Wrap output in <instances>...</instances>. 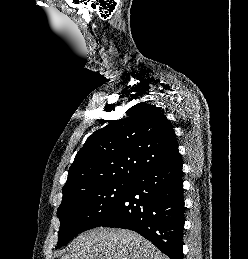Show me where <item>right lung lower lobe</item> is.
Returning <instances> with one entry per match:
<instances>
[{
	"label": "right lung lower lobe",
	"instance_id": "right-lung-lower-lobe-1",
	"mask_svg": "<svg viewBox=\"0 0 248 259\" xmlns=\"http://www.w3.org/2000/svg\"><path fill=\"white\" fill-rule=\"evenodd\" d=\"M182 175L180 157L146 170L131 181L110 216L97 227L133 230L170 259H183Z\"/></svg>",
	"mask_w": 248,
	"mask_h": 259
}]
</instances>
